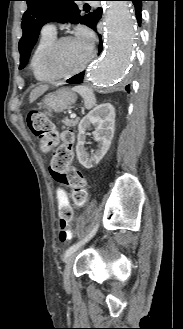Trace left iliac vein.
Instances as JSON below:
<instances>
[{
  "label": "left iliac vein",
  "instance_id": "left-iliac-vein-1",
  "mask_svg": "<svg viewBox=\"0 0 183 329\" xmlns=\"http://www.w3.org/2000/svg\"><path fill=\"white\" fill-rule=\"evenodd\" d=\"M78 251L75 250L67 259L66 265L64 268L63 272V281H64V286L68 290L70 288V277H71V271L73 267V263L75 260V257L77 255Z\"/></svg>",
  "mask_w": 183,
  "mask_h": 329
}]
</instances>
